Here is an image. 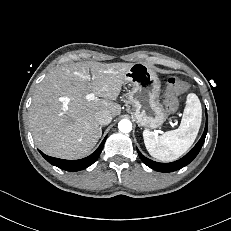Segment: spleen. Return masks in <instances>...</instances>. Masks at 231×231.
<instances>
[{"mask_svg": "<svg viewBox=\"0 0 231 231\" xmlns=\"http://www.w3.org/2000/svg\"><path fill=\"white\" fill-rule=\"evenodd\" d=\"M202 118V107L198 96L190 93L180 126L176 130L157 135L149 130L143 131V139L149 154L163 162L178 159L193 144L198 134Z\"/></svg>", "mask_w": 231, "mask_h": 231, "instance_id": "obj_1", "label": "spleen"}]
</instances>
